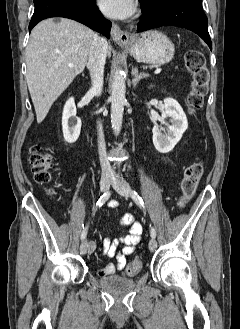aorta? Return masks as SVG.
<instances>
[{"instance_id": "1", "label": "aorta", "mask_w": 240, "mask_h": 329, "mask_svg": "<svg viewBox=\"0 0 240 329\" xmlns=\"http://www.w3.org/2000/svg\"><path fill=\"white\" fill-rule=\"evenodd\" d=\"M125 76L122 69H116L111 85V124L117 136L122 127L123 111L126 102Z\"/></svg>"}]
</instances>
